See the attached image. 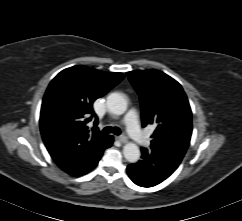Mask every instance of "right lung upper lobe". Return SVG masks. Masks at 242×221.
Segmentation results:
<instances>
[{
  "label": "right lung upper lobe",
  "instance_id": "obj_1",
  "mask_svg": "<svg viewBox=\"0 0 242 221\" xmlns=\"http://www.w3.org/2000/svg\"><path fill=\"white\" fill-rule=\"evenodd\" d=\"M124 78L119 72H103L78 65L61 71L49 84L40 113L45 146L61 168L81 169L90 152L101 147L109 135L86 124L97 116L93 102ZM90 116V117H89Z\"/></svg>",
  "mask_w": 242,
  "mask_h": 221
}]
</instances>
